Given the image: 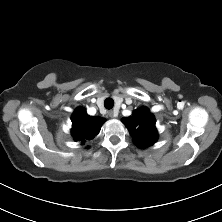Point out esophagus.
Masks as SVG:
<instances>
[{"label":"esophagus","mask_w":222,"mask_h":222,"mask_svg":"<svg viewBox=\"0 0 222 222\" xmlns=\"http://www.w3.org/2000/svg\"><path fill=\"white\" fill-rule=\"evenodd\" d=\"M108 115H109V117H111V118L117 117V114H116L114 111H112V110L108 111Z\"/></svg>","instance_id":"1"}]
</instances>
